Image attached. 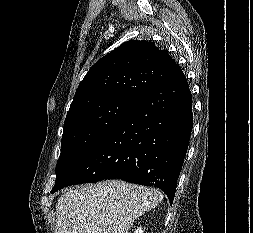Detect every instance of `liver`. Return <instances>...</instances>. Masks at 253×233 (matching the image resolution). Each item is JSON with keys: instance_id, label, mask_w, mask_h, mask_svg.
<instances>
[{"instance_id": "6515ba94", "label": "liver", "mask_w": 253, "mask_h": 233, "mask_svg": "<svg viewBox=\"0 0 253 233\" xmlns=\"http://www.w3.org/2000/svg\"><path fill=\"white\" fill-rule=\"evenodd\" d=\"M162 200L157 189L119 180L69 189L56 204L55 233H128Z\"/></svg>"}]
</instances>
